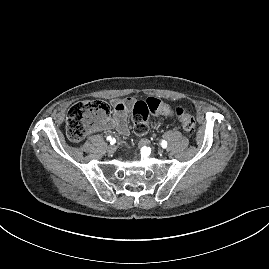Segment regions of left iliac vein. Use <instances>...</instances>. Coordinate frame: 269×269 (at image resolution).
Listing matches in <instances>:
<instances>
[{
	"mask_svg": "<svg viewBox=\"0 0 269 269\" xmlns=\"http://www.w3.org/2000/svg\"><path fill=\"white\" fill-rule=\"evenodd\" d=\"M139 145L140 146H149L150 142L147 139H141L140 142H139Z\"/></svg>",
	"mask_w": 269,
	"mask_h": 269,
	"instance_id": "1",
	"label": "left iliac vein"
}]
</instances>
